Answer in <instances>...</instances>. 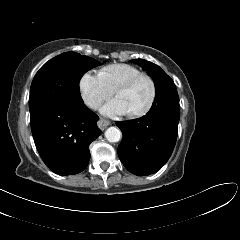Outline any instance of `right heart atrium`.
Instances as JSON below:
<instances>
[{
	"mask_svg": "<svg viewBox=\"0 0 240 240\" xmlns=\"http://www.w3.org/2000/svg\"><path fill=\"white\" fill-rule=\"evenodd\" d=\"M79 90L84 103L91 109H97L110 98L112 90L99 75L84 73L79 80Z\"/></svg>",
	"mask_w": 240,
	"mask_h": 240,
	"instance_id": "d8ad5b80",
	"label": "right heart atrium"
}]
</instances>
